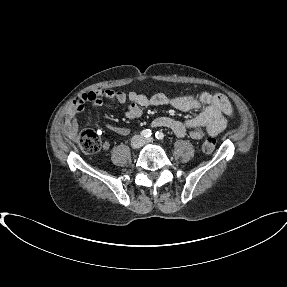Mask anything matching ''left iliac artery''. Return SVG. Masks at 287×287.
<instances>
[{
	"mask_svg": "<svg viewBox=\"0 0 287 287\" xmlns=\"http://www.w3.org/2000/svg\"><path fill=\"white\" fill-rule=\"evenodd\" d=\"M155 137L158 139V140H162L164 138V134L160 131H157L155 133Z\"/></svg>",
	"mask_w": 287,
	"mask_h": 287,
	"instance_id": "obj_1",
	"label": "left iliac artery"
}]
</instances>
